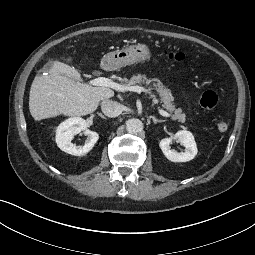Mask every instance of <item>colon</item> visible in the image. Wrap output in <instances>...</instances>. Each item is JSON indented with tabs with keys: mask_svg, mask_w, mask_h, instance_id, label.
Wrapping results in <instances>:
<instances>
[{
	"mask_svg": "<svg viewBox=\"0 0 255 255\" xmlns=\"http://www.w3.org/2000/svg\"><path fill=\"white\" fill-rule=\"evenodd\" d=\"M166 56L175 61H183L186 58V55L182 52H167ZM200 103L204 109L214 110L219 104V97L214 91L206 90L201 94ZM228 127L229 124L225 118L219 120L217 125L219 132H226Z\"/></svg>",
	"mask_w": 255,
	"mask_h": 255,
	"instance_id": "5ec220e1",
	"label": "colon"
}]
</instances>
